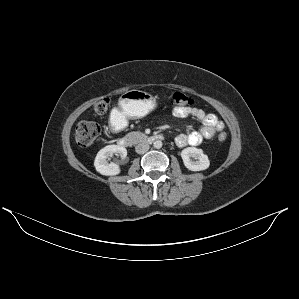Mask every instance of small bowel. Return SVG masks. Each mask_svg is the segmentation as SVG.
Listing matches in <instances>:
<instances>
[{"mask_svg":"<svg viewBox=\"0 0 299 299\" xmlns=\"http://www.w3.org/2000/svg\"><path fill=\"white\" fill-rule=\"evenodd\" d=\"M172 114L177 118L192 117L197 119L202 128L189 134H180L176 138L179 147L197 146L204 140L212 138L215 134L225 129V124L216 115L206 113L202 109L195 107H174Z\"/></svg>","mask_w":299,"mask_h":299,"instance_id":"1","label":"small bowel"}]
</instances>
